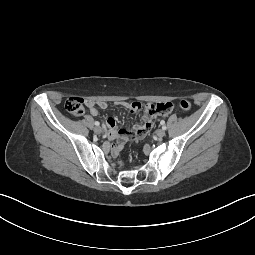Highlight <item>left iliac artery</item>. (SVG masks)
<instances>
[{
	"label": "left iliac artery",
	"instance_id": "44dca946",
	"mask_svg": "<svg viewBox=\"0 0 255 255\" xmlns=\"http://www.w3.org/2000/svg\"><path fill=\"white\" fill-rule=\"evenodd\" d=\"M162 129H163V130H166V129H167V127H166V126H163V127H162Z\"/></svg>",
	"mask_w": 255,
	"mask_h": 255
}]
</instances>
